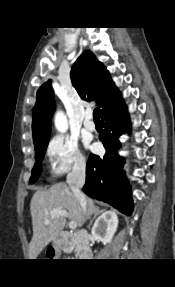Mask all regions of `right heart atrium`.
Listing matches in <instances>:
<instances>
[{
	"instance_id": "right-heart-atrium-1",
	"label": "right heart atrium",
	"mask_w": 175,
	"mask_h": 287,
	"mask_svg": "<svg viewBox=\"0 0 175 287\" xmlns=\"http://www.w3.org/2000/svg\"><path fill=\"white\" fill-rule=\"evenodd\" d=\"M52 176H60L70 170H83L86 162L76 139L59 134L50 139L46 148Z\"/></svg>"
}]
</instances>
